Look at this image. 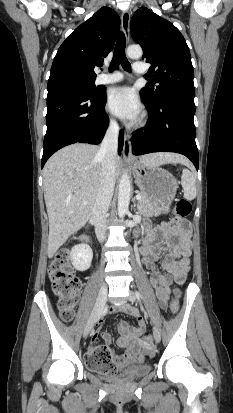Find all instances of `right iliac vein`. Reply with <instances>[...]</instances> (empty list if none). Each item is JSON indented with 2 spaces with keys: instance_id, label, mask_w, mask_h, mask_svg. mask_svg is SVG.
Instances as JSON below:
<instances>
[{
  "instance_id": "obj_1",
  "label": "right iliac vein",
  "mask_w": 233,
  "mask_h": 413,
  "mask_svg": "<svg viewBox=\"0 0 233 413\" xmlns=\"http://www.w3.org/2000/svg\"><path fill=\"white\" fill-rule=\"evenodd\" d=\"M107 300V286L105 284L102 285L99 295L97 297L95 306L93 308V311L91 313V316L86 324V327L84 329L83 337L86 338L92 328L94 327L96 321L99 319V317L102 314V311L104 309L105 303Z\"/></svg>"
}]
</instances>
